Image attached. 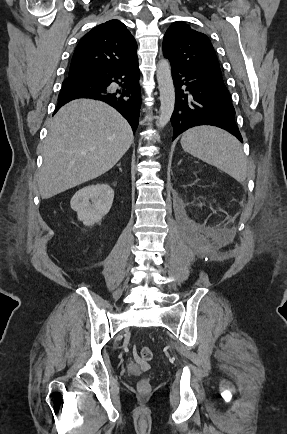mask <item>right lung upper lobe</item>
I'll use <instances>...</instances> for the list:
<instances>
[{"instance_id": "right-lung-upper-lobe-1", "label": "right lung upper lobe", "mask_w": 287, "mask_h": 434, "mask_svg": "<svg viewBox=\"0 0 287 434\" xmlns=\"http://www.w3.org/2000/svg\"><path fill=\"white\" fill-rule=\"evenodd\" d=\"M137 43L119 20H110L89 31L79 41L72 57L68 78L108 68L138 63Z\"/></svg>"}]
</instances>
